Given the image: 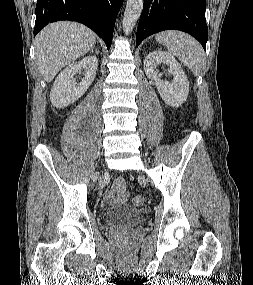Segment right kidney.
Wrapping results in <instances>:
<instances>
[{
	"label": "right kidney",
	"mask_w": 253,
	"mask_h": 285,
	"mask_svg": "<svg viewBox=\"0 0 253 285\" xmlns=\"http://www.w3.org/2000/svg\"><path fill=\"white\" fill-rule=\"evenodd\" d=\"M98 59L90 55L67 66L57 76L50 92V101L56 108H64L78 100L94 81ZM85 70V77L76 83L74 76Z\"/></svg>",
	"instance_id": "right-kidney-1"
}]
</instances>
